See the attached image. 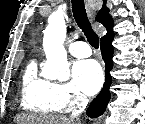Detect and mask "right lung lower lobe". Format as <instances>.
Segmentation results:
<instances>
[{
  "mask_svg": "<svg viewBox=\"0 0 145 124\" xmlns=\"http://www.w3.org/2000/svg\"><path fill=\"white\" fill-rule=\"evenodd\" d=\"M114 37L113 29L108 31L107 34L101 38V53L102 58L106 64L105 68V83L104 87L102 88L101 92L98 96L91 102L90 106L88 107L87 114L91 118L98 117L99 115L103 114L106 109L107 103L110 100V92L109 87L112 83V78L110 76V71L113 67L112 56H113V47H112V40Z\"/></svg>",
  "mask_w": 145,
  "mask_h": 124,
  "instance_id": "98d812e1",
  "label": "right lung lower lobe"
}]
</instances>
